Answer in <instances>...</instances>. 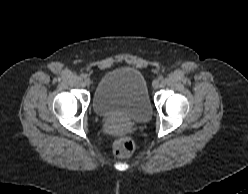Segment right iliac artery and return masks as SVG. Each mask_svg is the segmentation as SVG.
<instances>
[{
    "label": "right iliac artery",
    "mask_w": 248,
    "mask_h": 194,
    "mask_svg": "<svg viewBox=\"0 0 248 194\" xmlns=\"http://www.w3.org/2000/svg\"><path fill=\"white\" fill-rule=\"evenodd\" d=\"M86 77V75L85 74H80V78H85Z\"/></svg>",
    "instance_id": "1"
}]
</instances>
